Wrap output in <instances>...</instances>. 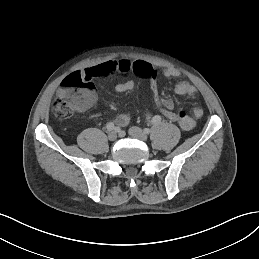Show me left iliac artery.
<instances>
[{"mask_svg": "<svg viewBox=\"0 0 259 259\" xmlns=\"http://www.w3.org/2000/svg\"><path fill=\"white\" fill-rule=\"evenodd\" d=\"M161 120H162V118H161V116H159V115H156V116H154L153 118H152V123L153 124H159L160 122H161Z\"/></svg>", "mask_w": 259, "mask_h": 259, "instance_id": "left-iliac-artery-1", "label": "left iliac artery"}]
</instances>
